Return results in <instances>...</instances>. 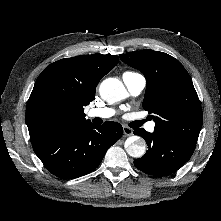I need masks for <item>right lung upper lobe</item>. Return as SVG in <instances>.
Instances as JSON below:
<instances>
[{
	"mask_svg": "<svg viewBox=\"0 0 221 221\" xmlns=\"http://www.w3.org/2000/svg\"><path fill=\"white\" fill-rule=\"evenodd\" d=\"M119 62L114 55H84L50 64L38 76L26 107L30 139L87 122L84 107L94 100L100 79Z\"/></svg>",
	"mask_w": 221,
	"mask_h": 221,
	"instance_id": "right-lung-upper-lobe-1",
	"label": "right lung upper lobe"
}]
</instances>
